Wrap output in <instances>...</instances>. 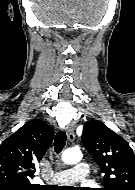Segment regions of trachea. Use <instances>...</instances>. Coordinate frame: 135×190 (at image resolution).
<instances>
[{
	"label": "trachea",
	"mask_w": 135,
	"mask_h": 190,
	"mask_svg": "<svg viewBox=\"0 0 135 190\" xmlns=\"http://www.w3.org/2000/svg\"><path fill=\"white\" fill-rule=\"evenodd\" d=\"M66 144V133L64 131L58 132L54 141V149L59 154Z\"/></svg>",
	"instance_id": "3493384b"
}]
</instances>
